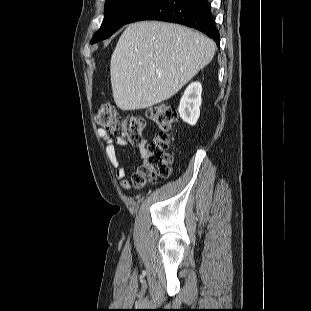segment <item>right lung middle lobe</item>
I'll return each mask as SVG.
<instances>
[{"instance_id": "right-lung-middle-lobe-1", "label": "right lung middle lobe", "mask_w": 311, "mask_h": 311, "mask_svg": "<svg viewBox=\"0 0 311 311\" xmlns=\"http://www.w3.org/2000/svg\"><path fill=\"white\" fill-rule=\"evenodd\" d=\"M154 0H106L105 16L100 29L96 32L91 43H96L110 37L140 9Z\"/></svg>"}]
</instances>
